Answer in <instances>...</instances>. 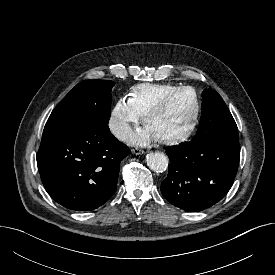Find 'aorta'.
Here are the masks:
<instances>
[{
	"label": "aorta",
	"mask_w": 275,
	"mask_h": 275,
	"mask_svg": "<svg viewBox=\"0 0 275 275\" xmlns=\"http://www.w3.org/2000/svg\"><path fill=\"white\" fill-rule=\"evenodd\" d=\"M148 167L155 172H163L168 168V158L162 152H150L146 156Z\"/></svg>",
	"instance_id": "aorta-1"
}]
</instances>
